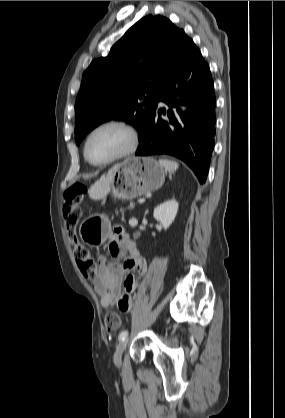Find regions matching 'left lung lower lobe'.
<instances>
[{
    "label": "left lung lower lobe",
    "instance_id": "obj_1",
    "mask_svg": "<svg viewBox=\"0 0 285 418\" xmlns=\"http://www.w3.org/2000/svg\"><path fill=\"white\" fill-rule=\"evenodd\" d=\"M159 101L166 103L170 109L168 112L165 109L155 110L135 154L175 156L194 171L200 183H204L215 144L214 83L200 50L186 34L163 78L157 106ZM185 103L188 110L182 114L177 106ZM174 110L181 115L182 125L177 122ZM166 113L169 121L160 116Z\"/></svg>",
    "mask_w": 285,
    "mask_h": 418
}]
</instances>
